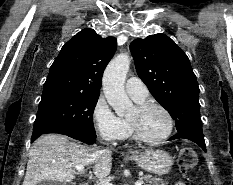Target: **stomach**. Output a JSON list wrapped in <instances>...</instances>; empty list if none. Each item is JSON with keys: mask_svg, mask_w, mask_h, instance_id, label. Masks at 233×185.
Returning <instances> with one entry per match:
<instances>
[{"mask_svg": "<svg viewBox=\"0 0 233 185\" xmlns=\"http://www.w3.org/2000/svg\"><path fill=\"white\" fill-rule=\"evenodd\" d=\"M131 159L144 170L158 175L167 174L174 162L169 153L159 149H149L139 154H132Z\"/></svg>", "mask_w": 233, "mask_h": 185, "instance_id": "stomach-1", "label": "stomach"}]
</instances>
